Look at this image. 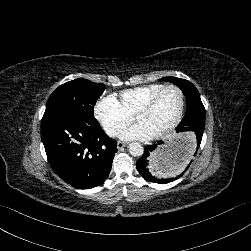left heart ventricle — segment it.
Masks as SVG:
<instances>
[{
	"label": "left heart ventricle",
	"mask_w": 251,
	"mask_h": 251,
	"mask_svg": "<svg viewBox=\"0 0 251 251\" xmlns=\"http://www.w3.org/2000/svg\"><path fill=\"white\" fill-rule=\"evenodd\" d=\"M181 95L175 90L165 92L155 106L149 110H141L135 113L139 121H147L159 133L170 126L178 118L181 108Z\"/></svg>",
	"instance_id": "left-heart-ventricle-1"
}]
</instances>
